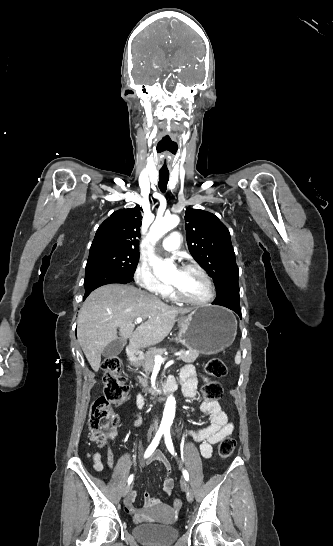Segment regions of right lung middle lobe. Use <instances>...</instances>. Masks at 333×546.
I'll return each instance as SVG.
<instances>
[{"label": "right lung middle lobe", "mask_w": 333, "mask_h": 546, "mask_svg": "<svg viewBox=\"0 0 333 546\" xmlns=\"http://www.w3.org/2000/svg\"><path fill=\"white\" fill-rule=\"evenodd\" d=\"M139 261V252L117 248L90 251L86 270L104 268L133 277Z\"/></svg>", "instance_id": "dd1d6c3e"}]
</instances>
